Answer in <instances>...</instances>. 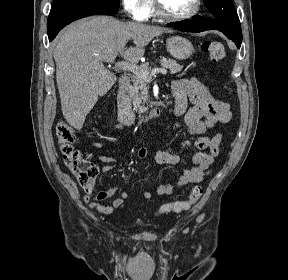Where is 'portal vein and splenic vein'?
I'll list each match as a JSON object with an SVG mask.
<instances>
[{
  "instance_id": "obj_1",
  "label": "portal vein and splenic vein",
  "mask_w": 288,
  "mask_h": 280,
  "mask_svg": "<svg viewBox=\"0 0 288 280\" xmlns=\"http://www.w3.org/2000/svg\"><path fill=\"white\" fill-rule=\"evenodd\" d=\"M115 56L116 55H113L110 57L104 56L103 59L104 61L113 63ZM115 68L131 71L134 74L140 75L142 78H144L147 81L151 80L152 76H154L157 73H161L164 75L167 74V70L165 68H155L151 72H148V71L141 70L139 66L131 62H117L115 63Z\"/></svg>"
}]
</instances>
